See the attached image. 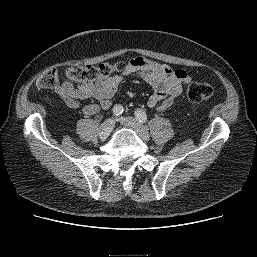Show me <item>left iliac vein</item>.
<instances>
[{
  "mask_svg": "<svg viewBox=\"0 0 257 257\" xmlns=\"http://www.w3.org/2000/svg\"><path fill=\"white\" fill-rule=\"evenodd\" d=\"M119 121L123 126L133 129L141 139L145 141L150 139L147 129L138 120L132 117H121Z\"/></svg>",
  "mask_w": 257,
  "mask_h": 257,
  "instance_id": "1",
  "label": "left iliac vein"
}]
</instances>
